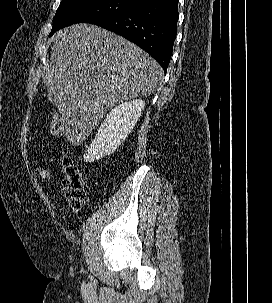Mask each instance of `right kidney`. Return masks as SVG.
Wrapping results in <instances>:
<instances>
[{"label":"right kidney","instance_id":"right-kidney-1","mask_svg":"<svg viewBox=\"0 0 272 303\" xmlns=\"http://www.w3.org/2000/svg\"><path fill=\"white\" fill-rule=\"evenodd\" d=\"M144 107L145 102L136 99L119 104L112 109L86 150L83 156L84 161L91 163L112 154L133 130Z\"/></svg>","mask_w":272,"mask_h":303}]
</instances>
